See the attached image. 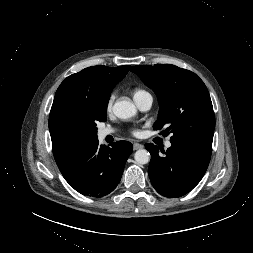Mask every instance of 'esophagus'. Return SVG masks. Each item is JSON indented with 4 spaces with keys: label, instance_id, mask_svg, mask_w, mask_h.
<instances>
[{
    "label": "esophagus",
    "instance_id": "1",
    "mask_svg": "<svg viewBox=\"0 0 253 253\" xmlns=\"http://www.w3.org/2000/svg\"><path fill=\"white\" fill-rule=\"evenodd\" d=\"M141 148H143L142 144H140V143H134V145H133V149L134 150H138V149H141Z\"/></svg>",
    "mask_w": 253,
    "mask_h": 253
}]
</instances>
